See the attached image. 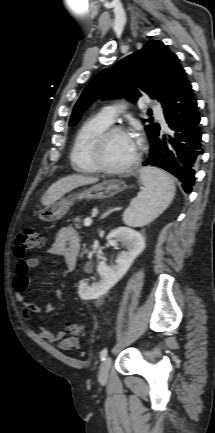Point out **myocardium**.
<instances>
[{
  "mask_svg": "<svg viewBox=\"0 0 215 433\" xmlns=\"http://www.w3.org/2000/svg\"><path fill=\"white\" fill-rule=\"evenodd\" d=\"M115 133L129 134V130L119 125H110L106 129H104L95 137L91 144L90 158L93 166L96 168L97 171L107 174L120 175L130 172L138 166L142 157L143 144L141 142L138 143L136 155L130 163L118 168L109 167L104 163L102 159V152L106 141Z\"/></svg>",
  "mask_w": 215,
  "mask_h": 433,
  "instance_id": "1",
  "label": "myocardium"
}]
</instances>
